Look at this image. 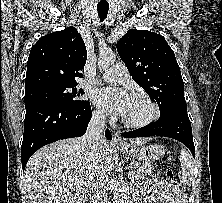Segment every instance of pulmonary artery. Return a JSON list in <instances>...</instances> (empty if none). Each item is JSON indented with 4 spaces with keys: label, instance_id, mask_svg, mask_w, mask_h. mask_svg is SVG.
Instances as JSON below:
<instances>
[{
    "label": "pulmonary artery",
    "instance_id": "obj_1",
    "mask_svg": "<svg viewBox=\"0 0 222 203\" xmlns=\"http://www.w3.org/2000/svg\"><path fill=\"white\" fill-rule=\"evenodd\" d=\"M127 78L128 74L126 66L124 64L117 63L98 76L97 81L120 84L124 83Z\"/></svg>",
    "mask_w": 222,
    "mask_h": 203
}]
</instances>
